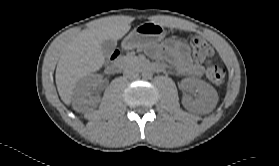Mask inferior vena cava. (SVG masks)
<instances>
[{
    "mask_svg": "<svg viewBox=\"0 0 279 166\" xmlns=\"http://www.w3.org/2000/svg\"><path fill=\"white\" fill-rule=\"evenodd\" d=\"M124 76L126 78H136L138 76V71L134 69L126 70Z\"/></svg>",
    "mask_w": 279,
    "mask_h": 166,
    "instance_id": "602c4592",
    "label": "inferior vena cava"
}]
</instances>
